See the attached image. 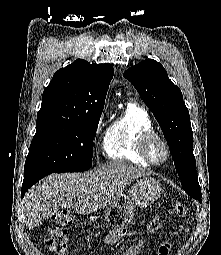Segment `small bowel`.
<instances>
[{"label":"small bowel","instance_id":"small-bowel-1","mask_svg":"<svg viewBox=\"0 0 221 255\" xmlns=\"http://www.w3.org/2000/svg\"><path fill=\"white\" fill-rule=\"evenodd\" d=\"M126 234V229L122 228V229H118L115 231H112L111 233H109L103 240V243L105 245H112L115 244L118 240H120L124 235ZM145 241L144 240H140L138 241V243H136L135 245H133L128 251H126L124 253V255H138V253L140 252L141 248L143 247ZM168 249H169V245L168 244H163L160 248H159V255H168Z\"/></svg>","mask_w":221,"mask_h":255}]
</instances>
